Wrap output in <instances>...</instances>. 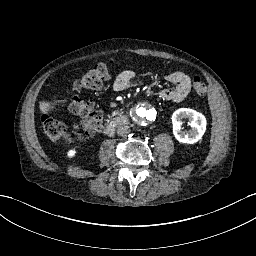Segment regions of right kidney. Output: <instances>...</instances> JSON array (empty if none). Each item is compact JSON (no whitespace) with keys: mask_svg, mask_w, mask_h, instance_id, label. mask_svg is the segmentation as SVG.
<instances>
[{"mask_svg":"<svg viewBox=\"0 0 256 256\" xmlns=\"http://www.w3.org/2000/svg\"><path fill=\"white\" fill-rule=\"evenodd\" d=\"M75 154H76V150H74V149H73V150H69L68 153H67V155H68L69 158L74 157Z\"/></svg>","mask_w":256,"mask_h":256,"instance_id":"right-kidney-1","label":"right kidney"}]
</instances>
